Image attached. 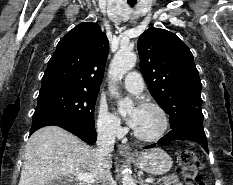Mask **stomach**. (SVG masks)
I'll use <instances>...</instances> for the list:
<instances>
[{"instance_id": "1", "label": "stomach", "mask_w": 233, "mask_h": 185, "mask_svg": "<svg viewBox=\"0 0 233 185\" xmlns=\"http://www.w3.org/2000/svg\"><path fill=\"white\" fill-rule=\"evenodd\" d=\"M126 157L141 170L156 175L167 173L173 163L171 157L161 148H152Z\"/></svg>"}]
</instances>
